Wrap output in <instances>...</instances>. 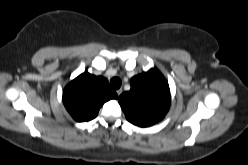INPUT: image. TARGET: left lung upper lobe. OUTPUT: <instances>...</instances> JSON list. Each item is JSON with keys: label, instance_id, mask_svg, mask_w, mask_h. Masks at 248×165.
I'll use <instances>...</instances> for the list:
<instances>
[{"label": "left lung upper lobe", "instance_id": "obj_1", "mask_svg": "<svg viewBox=\"0 0 248 165\" xmlns=\"http://www.w3.org/2000/svg\"><path fill=\"white\" fill-rule=\"evenodd\" d=\"M131 89L119 97V104L129 122L139 127L162 120L170 107L169 85L156 69L134 76Z\"/></svg>", "mask_w": 248, "mask_h": 165}]
</instances>
